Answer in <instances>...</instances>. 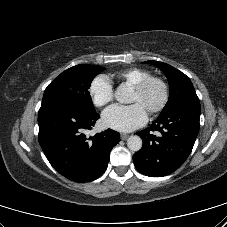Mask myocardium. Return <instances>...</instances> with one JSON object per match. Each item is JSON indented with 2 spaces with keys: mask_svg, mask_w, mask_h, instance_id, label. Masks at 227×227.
I'll return each instance as SVG.
<instances>
[{
  "mask_svg": "<svg viewBox=\"0 0 227 227\" xmlns=\"http://www.w3.org/2000/svg\"><path fill=\"white\" fill-rule=\"evenodd\" d=\"M152 84H158L162 91V97L160 102L156 106L148 110L150 114H157L165 109L170 99V88L166 80L159 76H149L142 80L141 82L134 85L133 88L138 93H144Z\"/></svg>",
  "mask_w": 227,
  "mask_h": 227,
  "instance_id": "obj_1",
  "label": "myocardium"
}]
</instances>
